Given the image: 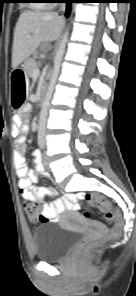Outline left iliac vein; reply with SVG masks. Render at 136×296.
I'll return each instance as SVG.
<instances>
[{"label": "left iliac vein", "mask_w": 136, "mask_h": 296, "mask_svg": "<svg viewBox=\"0 0 136 296\" xmlns=\"http://www.w3.org/2000/svg\"><path fill=\"white\" fill-rule=\"evenodd\" d=\"M44 165H45L46 169H48V170L50 169V168H49L48 157H47L46 154H44Z\"/></svg>", "instance_id": "obj_1"}]
</instances>
